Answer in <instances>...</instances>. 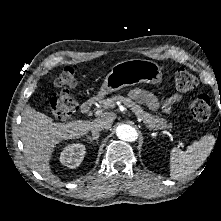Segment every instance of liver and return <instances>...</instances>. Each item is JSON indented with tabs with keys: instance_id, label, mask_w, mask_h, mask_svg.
<instances>
[{
	"instance_id": "obj_1",
	"label": "liver",
	"mask_w": 221,
	"mask_h": 221,
	"mask_svg": "<svg viewBox=\"0 0 221 221\" xmlns=\"http://www.w3.org/2000/svg\"><path fill=\"white\" fill-rule=\"evenodd\" d=\"M116 115L104 113L93 121L76 120L66 124L56 123L44 113L27 105L22 113L21 139L24 153L31 168L47 179L57 181L51 173L49 160L56 144L63 140L80 138L98 123L111 128Z\"/></svg>"
}]
</instances>
